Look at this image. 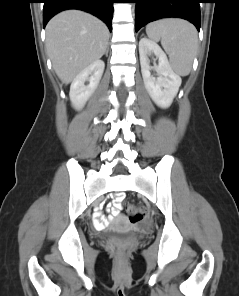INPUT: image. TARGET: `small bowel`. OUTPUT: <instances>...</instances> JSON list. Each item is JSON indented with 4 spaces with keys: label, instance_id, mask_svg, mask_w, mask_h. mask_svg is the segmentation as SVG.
Masks as SVG:
<instances>
[{
    "label": "small bowel",
    "instance_id": "obj_1",
    "mask_svg": "<svg viewBox=\"0 0 239 296\" xmlns=\"http://www.w3.org/2000/svg\"><path fill=\"white\" fill-rule=\"evenodd\" d=\"M120 201H121V197H117L115 201L108 206V212L112 217H115L119 214ZM106 221L107 220H104L103 222H106Z\"/></svg>",
    "mask_w": 239,
    "mask_h": 296
}]
</instances>
